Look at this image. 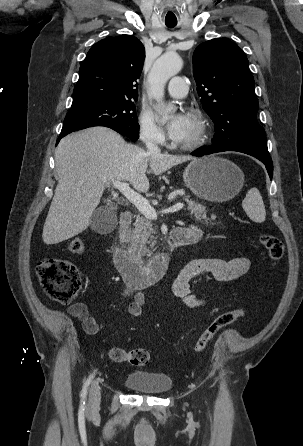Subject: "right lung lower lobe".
<instances>
[{
  "instance_id": "1",
  "label": "right lung lower lobe",
  "mask_w": 303,
  "mask_h": 446,
  "mask_svg": "<svg viewBox=\"0 0 303 446\" xmlns=\"http://www.w3.org/2000/svg\"><path fill=\"white\" fill-rule=\"evenodd\" d=\"M92 126H99V125H92ZM92 126H85V127L80 128V129H84V128L92 127ZM80 129H78V130H80ZM67 134H69V133H66V134H60L59 137H58V139H57V143H56V144H58V142L60 141V139L63 138L64 136H66Z\"/></svg>"
}]
</instances>
